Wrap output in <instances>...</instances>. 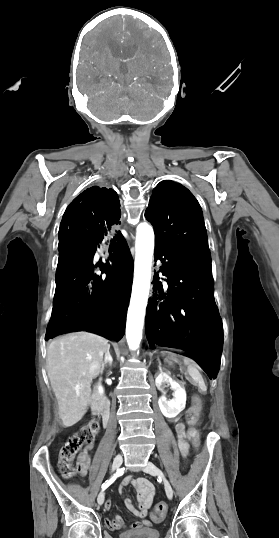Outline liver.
<instances>
[{"label": "liver", "mask_w": 279, "mask_h": 538, "mask_svg": "<svg viewBox=\"0 0 279 538\" xmlns=\"http://www.w3.org/2000/svg\"><path fill=\"white\" fill-rule=\"evenodd\" d=\"M108 346V340L88 332L66 334L49 344L47 374L66 428L86 414L92 380L101 372Z\"/></svg>", "instance_id": "liver-1"}]
</instances>
